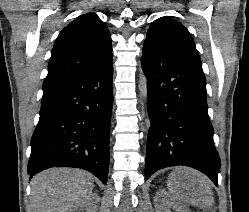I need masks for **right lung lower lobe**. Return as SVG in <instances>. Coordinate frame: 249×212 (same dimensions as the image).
Returning <instances> with one entry per match:
<instances>
[{
    "mask_svg": "<svg viewBox=\"0 0 249 212\" xmlns=\"http://www.w3.org/2000/svg\"><path fill=\"white\" fill-rule=\"evenodd\" d=\"M112 104V59L88 73L43 87L28 174L75 167L106 184Z\"/></svg>",
    "mask_w": 249,
    "mask_h": 212,
    "instance_id": "1",
    "label": "right lung lower lobe"
}]
</instances>
